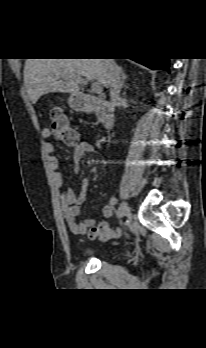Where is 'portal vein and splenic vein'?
I'll list each match as a JSON object with an SVG mask.
<instances>
[{"instance_id":"18ae733b","label":"portal vein and splenic vein","mask_w":206,"mask_h":348,"mask_svg":"<svg viewBox=\"0 0 206 348\" xmlns=\"http://www.w3.org/2000/svg\"><path fill=\"white\" fill-rule=\"evenodd\" d=\"M77 82L81 85H86L87 84V81H85L83 78L79 77L77 79ZM102 89L101 85L98 83V82H94L92 83V90L94 92H100Z\"/></svg>"}]
</instances>
